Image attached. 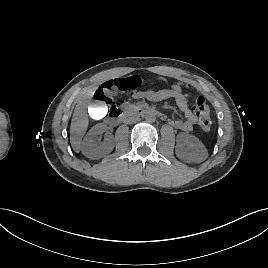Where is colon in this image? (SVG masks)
I'll list each match as a JSON object with an SVG mask.
<instances>
[{
    "label": "colon",
    "mask_w": 268,
    "mask_h": 268,
    "mask_svg": "<svg viewBox=\"0 0 268 268\" xmlns=\"http://www.w3.org/2000/svg\"><path fill=\"white\" fill-rule=\"evenodd\" d=\"M141 80L137 76L123 79H114L102 84L94 94L96 101L109 104L115 93H123L137 88ZM193 110L199 116V126L204 132H209L212 127L210 108L205 98L200 96L195 100Z\"/></svg>",
    "instance_id": "colon-1"
}]
</instances>
